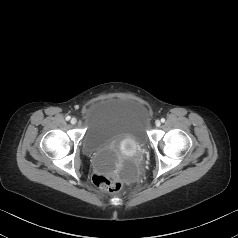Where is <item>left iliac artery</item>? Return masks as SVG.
Returning a JSON list of instances; mask_svg holds the SVG:
<instances>
[{"label": "left iliac artery", "mask_w": 238, "mask_h": 238, "mask_svg": "<svg viewBox=\"0 0 238 238\" xmlns=\"http://www.w3.org/2000/svg\"><path fill=\"white\" fill-rule=\"evenodd\" d=\"M161 122H162V123H164V122H165V119H164V118H162V119H161Z\"/></svg>", "instance_id": "obj_1"}]
</instances>
